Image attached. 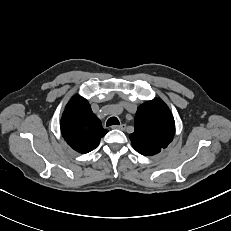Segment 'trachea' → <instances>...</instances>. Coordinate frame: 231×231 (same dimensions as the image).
<instances>
[{"instance_id":"1","label":"trachea","mask_w":231,"mask_h":231,"mask_svg":"<svg viewBox=\"0 0 231 231\" xmlns=\"http://www.w3.org/2000/svg\"><path fill=\"white\" fill-rule=\"evenodd\" d=\"M120 125L119 120L116 117H111L107 120L106 126Z\"/></svg>"}]
</instances>
